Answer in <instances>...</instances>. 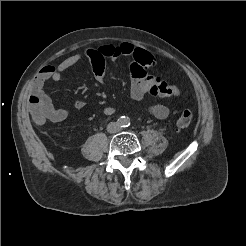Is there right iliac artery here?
I'll return each mask as SVG.
<instances>
[{
    "mask_svg": "<svg viewBox=\"0 0 246 246\" xmlns=\"http://www.w3.org/2000/svg\"><path fill=\"white\" fill-rule=\"evenodd\" d=\"M118 124L121 125L122 124V121L121 120H118Z\"/></svg>",
    "mask_w": 246,
    "mask_h": 246,
    "instance_id": "obj_1",
    "label": "right iliac artery"
}]
</instances>
